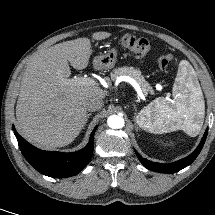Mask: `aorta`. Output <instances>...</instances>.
Returning a JSON list of instances; mask_svg holds the SVG:
<instances>
[{
  "instance_id": "aorta-1",
  "label": "aorta",
  "mask_w": 215,
  "mask_h": 215,
  "mask_svg": "<svg viewBox=\"0 0 215 215\" xmlns=\"http://www.w3.org/2000/svg\"><path fill=\"white\" fill-rule=\"evenodd\" d=\"M107 123L112 129H120L124 126V119L119 115H112L108 118Z\"/></svg>"
}]
</instances>
